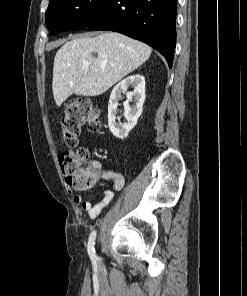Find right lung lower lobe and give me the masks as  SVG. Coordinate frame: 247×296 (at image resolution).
I'll return each mask as SVG.
<instances>
[{"label": "right lung lower lobe", "mask_w": 247, "mask_h": 296, "mask_svg": "<svg viewBox=\"0 0 247 296\" xmlns=\"http://www.w3.org/2000/svg\"><path fill=\"white\" fill-rule=\"evenodd\" d=\"M177 0H103L86 27L111 30L140 40L173 64Z\"/></svg>", "instance_id": "98d812e1"}]
</instances>
